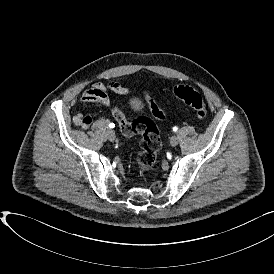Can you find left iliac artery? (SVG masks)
Listing matches in <instances>:
<instances>
[{
  "label": "left iliac artery",
  "mask_w": 274,
  "mask_h": 274,
  "mask_svg": "<svg viewBox=\"0 0 274 274\" xmlns=\"http://www.w3.org/2000/svg\"><path fill=\"white\" fill-rule=\"evenodd\" d=\"M178 130L177 127H173V131L176 132Z\"/></svg>",
  "instance_id": "obj_1"
}]
</instances>
